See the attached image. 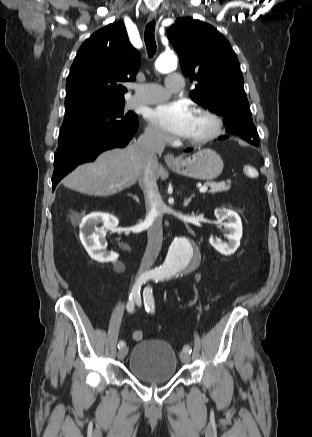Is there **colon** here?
<instances>
[{
  "mask_svg": "<svg viewBox=\"0 0 312 437\" xmlns=\"http://www.w3.org/2000/svg\"><path fill=\"white\" fill-rule=\"evenodd\" d=\"M143 337H144V333H143V331H141V330H135V331H133V333H132V338H133L135 341H141V340L143 339Z\"/></svg>",
  "mask_w": 312,
  "mask_h": 437,
  "instance_id": "obj_1",
  "label": "colon"
}]
</instances>
